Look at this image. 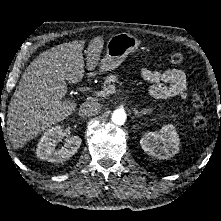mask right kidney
Instances as JSON below:
<instances>
[{
  "label": "right kidney",
  "mask_w": 221,
  "mask_h": 221,
  "mask_svg": "<svg viewBox=\"0 0 221 221\" xmlns=\"http://www.w3.org/2000/svg\"><path fill=\"white\" fill-rule=\"evenodd\" d=\"M61 136H63L61 126H54L44 132L37 145V157L51 163H62L72 157L79 149L81 139L78 136L68 137L64 146L56 150V142Z\"/></svg>",
  "instance_id": "obj_1"
}]
</instances>
